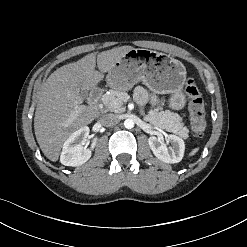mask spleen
<instances>
[{"label":"spleen","instance_id":"3e777b00","mask_svg":"<svg viewBox=\"0 0 247 247\" xmlns=\"http://www.w3.org/2000/svg\"><path fill=\"white\" fill-rule=\"evenodd\" d=\"M198 151H199V147L194 148V149L189 153V156L195 155Z\"/></svg>","mask_w":247,"mask_h":247}]
</instances>
